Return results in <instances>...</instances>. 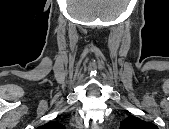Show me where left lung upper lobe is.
<instances>
[{
  "instance_id": "1",
  "label": "left lung upper lobe",
  "mask_w": 169,
  "mask_h": 129,
  "mask_svg": "<svg viewBox=\"0 0 169 129\" xmlns=\"http://www.w3.org/2000/svg\"><path fill=\"white\" fill-rule=\"evenodd\" d=\"M120 129H158L156 125L150 122H145L138 117L128 116L121 121Z\"/></svg>"
}]
</instances>
